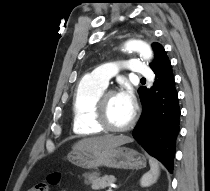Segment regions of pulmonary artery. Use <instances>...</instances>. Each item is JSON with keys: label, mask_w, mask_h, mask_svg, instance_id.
Wrapping results in <instances>:
<instances>
[{"label": "pulmonary artery", "mask_w": 210, "mask_h": 191, "mask_svg": "<svg viewBox=\"0 0 210 191\" xmlns=\"http://www.w3.org/2000/svg\"><path fill=\"white\" fill-rule=\"evenodd\" d=\"M121 68H127L133 73L144 77H150L152 74L151 70L148 67H146L141 61L135 59H128L119 62L102 64L94 70L87 73V78L96 81L104 86H107L109 80L114 75H116Z\"/></svg>", "instance_id": "1"}]
</instances>
